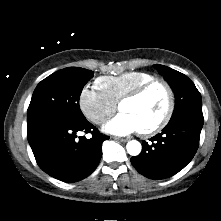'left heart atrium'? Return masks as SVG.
I'll use <instances>...</instances> for the list:
<instances>
[{
	"label": "left heart atrium",
	"instance_id": "1",
	"mask_svg": "<svg viewBox=\"0 0 221 221\" xmlns=\"http://www.w3.org/2000/svg\"><path fill=\"white\" fill-rule=\"evenodd\" d=\"M105 131L116 135H128L133 132L139 131V123L130 114L121 112L111 121H109L105 127Z\"/></svg>",
	"mask_w": 221,
	"mask_h": 221
}]
</instances>
